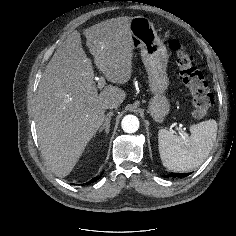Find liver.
<instances>
[{"label": "liver", "instance_id": "1", "mask_svg": "<svg viewBox=\"0 0 236 236\" xmlns=\"http://www.w3.org/2000/svg\"><path fill=\"white\" fill-rule=\"evenodd\" d=\"M131 19L112 18L83 31L96 66L112 83L124 84L132 75ZM125 97L124 90L112 85L98 93L80 33H71L46 66L35 107L41 152L58 177L73 170L102 125L106 105H120Z\"/></svg>", "mask_w": 236, "mask_h": 236}]
</instances>
